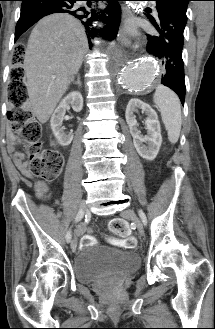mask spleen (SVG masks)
Wrapping results in <instances>:
<instances>
[{"label":"spleen","instance_id":"obj_1","mask_svg":"<svg viewBox=\"0 0 215 329\" xmlns=\"http://www.w3.org/2000/svg\"><path fill=\"white\" fill-rule=\"evenodd\" d=\"M153 101L161 113L169 141L175 144L179 139L182 125L178 96L169 88L159 85L155 90Z\"/></svg>","mask_w":215,"mask_h":329}]
</instances>
